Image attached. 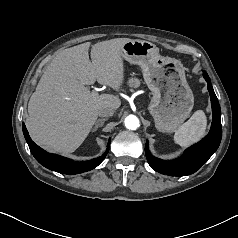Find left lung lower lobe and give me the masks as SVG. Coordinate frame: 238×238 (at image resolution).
<instances>
[{
  "label": "left lung lower lobe",
  "mask_w": 238,
  "mask_h": 238,
  "mask_svg": "<svg viewBox=\"0 0 238 238\" xmlns=\"http://www.w3.org/2000/svg\"><path fill=\"white\" fill-rule=\"evenodd\" d=\"M208 83V91L211 99L213 121L210 132L197 144L185 150L182 157L166 161L152 156L148 149V141L145 146L146 158L149 165L157 172L170 176H185L196 172L217 150L222 137L221 110L218 99L210 83L208 74L203 72Z\"/></svg>",
  "instance_id": "1"
}]
</instances>
